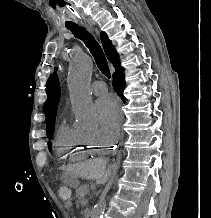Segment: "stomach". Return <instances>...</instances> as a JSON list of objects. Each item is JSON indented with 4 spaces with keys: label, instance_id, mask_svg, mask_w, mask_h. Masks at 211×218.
Instances as JSON below:
<instances>
[{
    "label": "stomach",
    "instance_id": "0dacf381",
    "mask_svg": "<svg viewBox=\"0 0 211 218\" xmlns=\"http://www.w3.org/2000/svg\"><path fill=\"white\" fill-rule=\"evenodd\" d=\"M64 182L72 188H77L79 186V180L74 174H67L64 178Z\"/></svg>",
    "mask_w": 211,
    "mask_h": 218
}]
</instances>
